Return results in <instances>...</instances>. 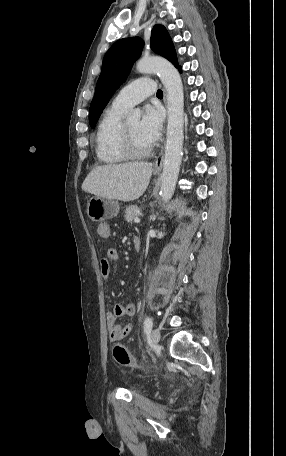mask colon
<instances>
[{
    "mask_svg": "<svg viewBox=\"0 0 286 456\" xmlns=\"http://www.w3.org/2000/svg\"><path fill=\"white\" fill-rule=\"evenodd\" d=\"M113 356L118 364L125 367L138 366L137 361L130 354L128 349L123 345H115L113 348Z\"/></svg>",
    "mask_w": 286,
    "mask_h": 456,
    "instance_id": "1",
    "label": "colon"
}]
</instances>
